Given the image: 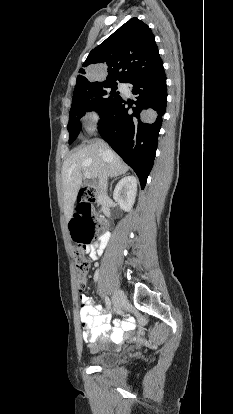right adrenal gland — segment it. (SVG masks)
<instances>
[{
  "label": "right adrenal gland",
  "instance_id": "right-adrenal-gland-1",
  "mask_svg": "<svg viewBox=\"0 0 233 414\" xmlns=\"http://www.w3.org/2000/svg\"><path fill=\"white\" fill-rule=\"evenodd\" d=\"M118 177H116L115 179L112 180L111 184H110V190H112V185L114 183L115 180H117Z\"/></svg>",
  "mask_w": 233,
  "mask_h": 414
}]
</instances>
